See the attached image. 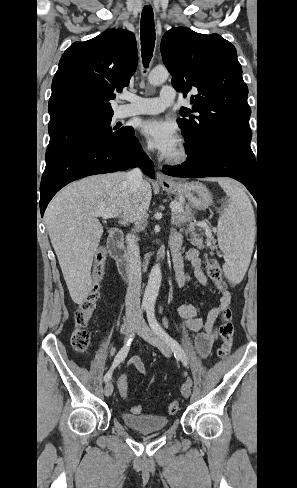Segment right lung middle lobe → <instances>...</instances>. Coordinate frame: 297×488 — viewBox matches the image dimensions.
<instances>
[{
	"label": "right lung middle lobe",
	"mask_w": 297,
	"mask_h": 488,
	"mask_svg": "<svg viewBox=\"0 0 297 488\" xmlns=\"http://www.w3.org/2000/svg\"><path fill=\"white\" fill-rule=\"evenodd\" d=\"M111 118L112 116L84 121L49 133L50 143L46 150V163L74 146L109 141L133 134L132 127L112 128Z\"/></svg>",
	"instance_id": "obj_1"
}]
</instances>
